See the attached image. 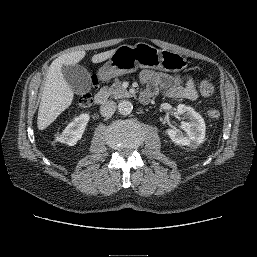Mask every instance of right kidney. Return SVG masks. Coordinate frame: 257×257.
Instances as JSON below:
<instances>
[{"instance_id": "1", "label": "right kidney", "mask_w": 257, "mask_h": 257, "mask_svg": "<svg viewBox=\"0 0 257 257\" xmlns=\"http://www.w3.org/2000/svg\"><path fill=\"white\" fill-rule=\"evenodd\" d=\"M89 119V114H80L67 125L61 135L56 137V141L74 146L82 138Z\"/></svg>"}]
</instances>
